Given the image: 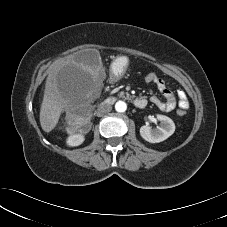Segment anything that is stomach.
Instances as JSON below:
<instances>
[{
    "label": "stomach",
    "mask_w": 227,
    "mask_h": 227,
    "mask_svg": "<svg viewBox=\"0 0 227 227\" xmlns=\"http://www.w3.org/2000/svg\"><path fill=\"white\" fill-rule=\"evenodd\" d=\"M128 67V58L126 56L118 57L111 66V74L120 78L124 75Z\"/></svg>",
    "instance_id": "1"
}]
</instances>
